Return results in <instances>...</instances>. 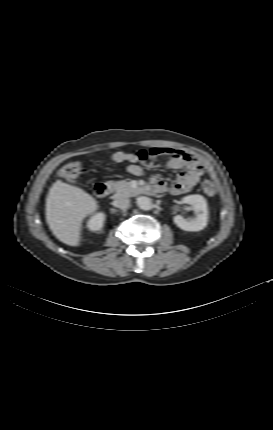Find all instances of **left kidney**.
<instances>
[{
  "instance_id": "5707ae66",
  "label": "left kidney",
  "mask_w": 273,
  "mask_h": 430,
  "mask_svg": "<svg viewBox=\"0 0 273 430\" xmlns=\"http://www.w3.org/2000/svg\"><path fill=\"white\" fill-rule=\"evenodd\" d=\"M182 203L191 205L195 211V217L184 218L181 215L174 216V223L185 231H200L207 226L208 222V205L206 199L198 194L189 195L182 198Z\"/></svg>"
}]
</instances>
